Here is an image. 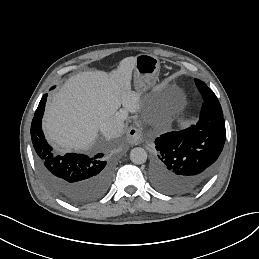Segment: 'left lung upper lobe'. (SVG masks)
Wrapping results in <instances>:
<instances>
[{
    "mask_svg": "<svg viewBox=\"0 0 259 259\" xmlns=\"http://www.w3.org/2000/svg\"><path fill=\"white\" fill-rule=\"evenodd\" d=\"M195 83L199 90H208L209 89L203 82H201L198 79H195Z\"/></svg>",
    "mask_w": 259,
    "mask_h": 259,
    "instance_id": "5c2ea615",
    "label": "left lung upper lobe"
}]
</instances>
